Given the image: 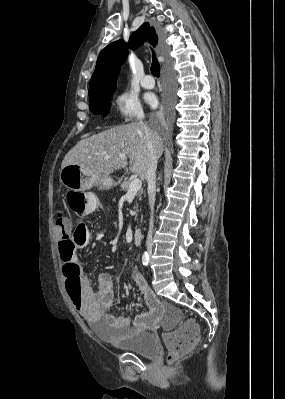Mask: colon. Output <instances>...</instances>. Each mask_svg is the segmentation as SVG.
<instances>
[{"label":"colon","mask_w":285,"mask_h":399,"mask_svg":"<svg viewBox=\"0 0 285 399\" xmlns=\"http://www.w3.org/2000/svg\"><path fill=\"white\" fill-rule=\"evenodd\" d=\"M67 201L72 211L78 215V219L71 222L66 216L62 215L56 220L58 226H63L66 223L70 225L69 235L64 237L59 243L60 259L65 265L64 273L66 275L76 270V252L91 237L86 224L80 219L87 203L86 193L69 192ZM66 287L74 303L77 304L80 294L78 283L68 281ZM164 339L169 348L170 359H176L191 351L197 343L199 339V327L194 321H186L176 329L167 331Z\"/></svg>","instance_id":"colon-1"}]
</instances>
